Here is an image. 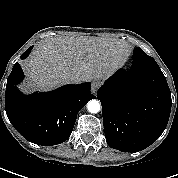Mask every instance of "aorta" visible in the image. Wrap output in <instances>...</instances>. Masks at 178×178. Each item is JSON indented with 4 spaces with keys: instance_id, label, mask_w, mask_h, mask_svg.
Masks as SVG:
<instances>
[{
    "instance_id": "aorta-1",
    "label": "aorta",
    "mask_w": 178,
    "mask_h": 178,
    "mask_svg": "<svg viewBox=\"0 0 178 178\" xmlns=\"http://www.w3.org/2000/svg\"><path fill=\"white\" fill-rule=\"evenodd\" d=\"M101 105L98 100H91L87 104V109L90 113H98L100 111Z\"/></svg>"
}]
</instances>
